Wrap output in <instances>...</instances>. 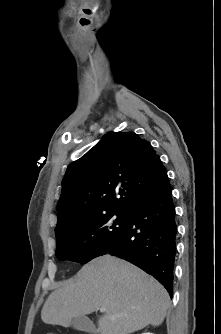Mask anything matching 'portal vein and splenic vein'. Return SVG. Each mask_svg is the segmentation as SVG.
Listing matches in <instances>:
<instances>
[{"mask_svg": "<svg viewBox=\"0 0 221 334\" xmlns=\"http://www.w3.org/2000/svg\"><path fill=\"white\" fill-rule=\"evenodd\" d=\"M105 308H100V312H105Z\"/></svg>", "mask_w": 221, "mask_h": 334, "instance_id": "18ae733b", "label": "portal vein and splenic vein"}]
</instances>
